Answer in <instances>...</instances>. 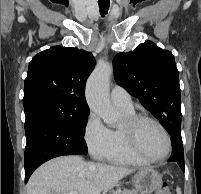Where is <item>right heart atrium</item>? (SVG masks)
Instances as JSON below:
<instances>
[{
	"label": "right heart atrium",
	"instance_id": "obj_1",
	"mask_svg": "<svg viewBox=\"0 0 201 194\" xmlns=\"http://www.w3.org/2000/svg\"><path fill=\"white\" fill-rule=\"evenodd\" d=\"M84 140L89 152L95 158H103L111 147V130L95 113H91L87 118L84 127Z\"/></svg>",
	"mask_w": 201,
	"mask_h": 194
}]
</instances>
